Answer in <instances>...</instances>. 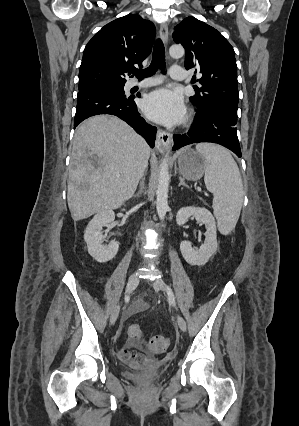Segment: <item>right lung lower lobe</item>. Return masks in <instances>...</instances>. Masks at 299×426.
I'll use <instances>...</instances> for the list:
<instances>
[{
	"label": "right lung lower lobe",
	"mask_w": 299,
	"mask_h": 426,
	"mask_svg": "<svg viewBox=\"0 0 299 426\" xmlns=\"http://www.w3.org/2000/svg\"><path fill=\"white\" fill-rule=\"evenodd\" d=\"M140 97V96H139ZM135 96L126 97L123 94L97 88L80 89L77 95V108L74 120V128L84 119L99 115H115L142 135L150 147H154L157 128L145 122L140 116Z\"/></svg>",
	"instance_id": "1"
}]
</instances>
